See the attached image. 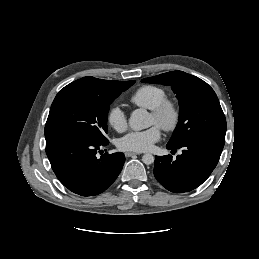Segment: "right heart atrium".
<instances>
[{"label": "right heart atrium", "mask_w": 259, "mask_h": 259, "mask_svg": "<svg viewBox=\"0 0 259 259\" xmlns=\"http://www.w3.org/2000/svg\"><path fill=\"white\" fill-rule=\"evenodd\" d=\"M107 121L118 132H122L127 128V116L120 106L110 108L107 113Z\"/></svg>", "instance_id": "right-heart-atrium-1"}]
</instances>
